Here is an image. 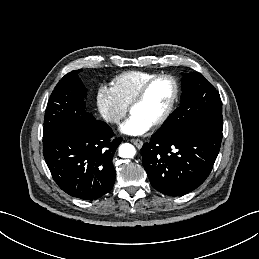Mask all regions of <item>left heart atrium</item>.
Segmentation results:
<instances>
[{
  "instance_id": "obj_1",
  "label": "left heart atrium",
  "mask_w": 259,
  "mask_h": 259,
  "mask_svg": "<svg viewBox=\"0 0 259 259\" xmlns=\"http://www.w3.org/2000/svg\"><path fill=\"white\" fill-rule=\"evenodd\" d=\"M151 124L143 120L137 114H132L120 127L124 134L128 135H141L147 132Z\"/></svg>"
}]
</instances>
